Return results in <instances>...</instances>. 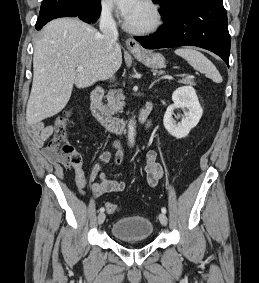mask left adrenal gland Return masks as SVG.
Masks as SVG:
<instances>
[{
  "label": "left adrenal gland",
  "mask_w": 259,
  "mask_h": 283,
  "mask_svg": "<svg viewBox=\"0 0 259 283\" xmlns=\"http://www.w3.org/2000/svg\"><path fill=\"white\" fill-rule=\"evenodd\" d=\"M157 82V80H155V81H153L152 83H151V85L149 86V89H151L153 86H154V84Z\"/></svg>",
  "instance_id": "a2214340"
}]
</instances>
